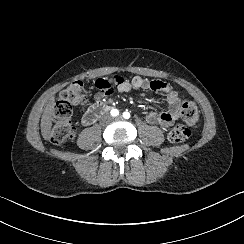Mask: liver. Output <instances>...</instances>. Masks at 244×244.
Masks as SVG:
<instances>
[{
    "instance_id": "obj_1",
    "label": "liver",
    "mask_w": 244,
    "mask_h": 244,
    "mask_svg": "<svg viewBox=\"0 0 244 244\" xmlns=\"http://www.w3.org/2000/svg\"><path fill=\"white\" fill-rule=\"evenodd\" d=\"M54 109L55 96H52L41 118V134L44 140H49L51 134Z\"/></svg>"
}]
</instances>
